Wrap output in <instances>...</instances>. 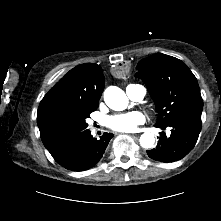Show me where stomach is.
<instances>
[{
    "instance_id": "stomach-1",
    "label": "stomach",
    "mask_w": 221,
    "mask_h": 221,
    "mask_svg": "<svg viewBox=\"0 0 221 221\" xmlns=\"http://www.w3.org/2000/svg\"><path fill=\"white\" fill-rule=\"evenodd\" d=\"M136 71V64L132 60H120L112 70L113 76L116 79L122 80L127 76L134 74Z\"/></svg>"
}]
</instances>
